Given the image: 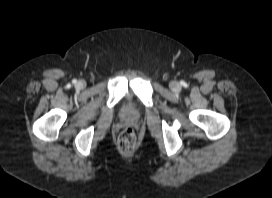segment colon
<instances>
[{
	"mask_svg": "<svg viewBox=\"0 0 272 198\" xmlns=\"http://www.w3.org/2000/svg\"><path fill=\"white\" fill-rule=\"evenodd\" d=\"M136 145V134L131 127L124 128L118 136V147L123 153L131 152Z\"/></svg>",
	"mask_w": 272,
	"mask_h": 198,
	"instance_id": "obj_1",
	"label": "colon"
}]
</instances>
